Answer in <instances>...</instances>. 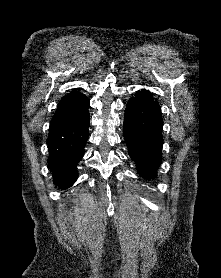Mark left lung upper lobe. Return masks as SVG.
<instances>
[{
	"instance_id": "5c2ea615",
	"label": "left lung upper lobe",
	"mask_w": 221,
	"mask_h": 278,
	"mask_svg": "<svg viewBox=\"0 0 221 278\" xmlns=\"http://www.w3.org/2000/svg\"><path fill=\"white\" fill-rule=\"evenodd\" d=\"M131 99L139 102H155L152 95L147 90L138 91L135 97H132Z\"/></svg>"
}]
</instances>
